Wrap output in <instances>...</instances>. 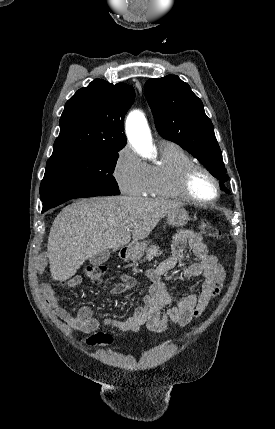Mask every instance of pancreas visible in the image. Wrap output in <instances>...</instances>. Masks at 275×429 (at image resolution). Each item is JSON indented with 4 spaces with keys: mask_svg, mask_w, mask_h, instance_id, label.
<instances>
[{
    "mask_svg": "<svg viewBox=\"0 0 275 429\" xmlns=\"http://www.w3.org/2000/svg\"><path fill=\"white\" fill-rule=\"evenodd\" d=\"M162 252L159 251V247L156 245H152L150 248H148L146 252V258L144 260H152L154 257L161 255Z\"/></svg>",
    "mask_w": 275,
    "mask_h": 429,
    "instance_id": "cf45deb5",
    "label": "pancreas"
}]
</instances>
